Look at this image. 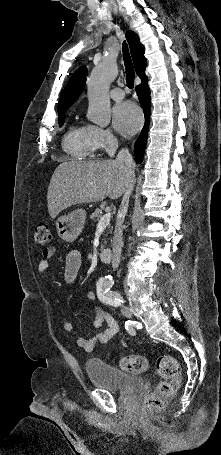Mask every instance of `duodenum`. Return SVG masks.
Returning a JSON list of instances; mask_svg holds the SVG:
<instances>
[{"label": "duodenum", "instance_id": "duodenum-1", "mask_svg": "<svg viewBox=\"0 0 221 455\" xmlns=\"http://www.w3.org/2000/svg\"><path fill=\"white\" fill-rule=\"evenodd\" d=\"M99 257L102 262L108 264L112 261V251L109 248H102L99 252Z\"/></svg>", "mask_w": 221, "mask_h": 455}]
</instances>
